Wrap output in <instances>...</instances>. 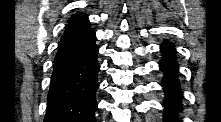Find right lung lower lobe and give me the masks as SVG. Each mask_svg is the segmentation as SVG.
<instances>
[{"mask_svg": "<svg viewBox=\"0 0 221 122\" xmlns=\"http://www.w3.org/2000/svg\"><path fill=\"white\" fill-rule=\"evenodd\" d=\"M98 52L88 20L64 33L54 59L44 122H96Z\"/></svg>", "mask_w": 221, "mask_h": 122, "instance_id": "obj_1", "label": "right lung lower lobe"}]
</instances>
